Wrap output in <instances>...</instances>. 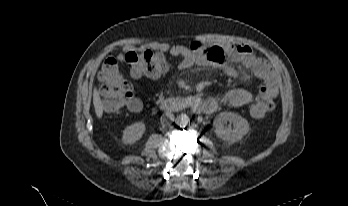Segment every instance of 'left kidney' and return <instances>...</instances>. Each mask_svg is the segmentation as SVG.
Masks as SVG:
<instances>
[{"instance_id": "1", "label": "left kidney", "mask_w": 348, "mask_h": 206, "mask_svg": "<svg viewBox=\"0 0 348 206\" xmlns=\"http://www.w3.org/2000/svg\"><path fill=\"white\" fill-rule=\"evenodd\" d=\"M232 123L233 129L226 126V123ZM216 136L225 143L234 144L241 141L249 132V123L242 116L233 112L220 113L213 122Z\"/></svg>"}]
</instances>
